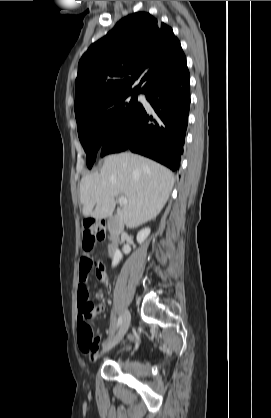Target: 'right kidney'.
Returning <instances> with one entry per match:
<instances>
[{"label":"right kidney","mask_w":271,"mask_h":418,"mask_svg":"<svg viewBox=\"0 0 271 418\" xmlns=\"http://www.w3.org/2000/svg\"><path fill=\"white\" fill-rule=\"evenodd\" d=\"M150 232H151L150 228H144L140 230L137 234V242L139 244L143 243L145 239L149 236ZM121 259H122V253L119 250H117L113 257L112 267L117 266Z\"/></svg>","instance_id":"1"}]
</instances>
